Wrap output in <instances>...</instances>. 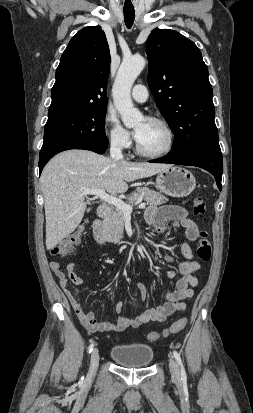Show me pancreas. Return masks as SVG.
Segmentation results:
<instances>
[{"mask_svg": "<svg viewBox=\"0 0 253 413\" xmlns=\"http://www.w3.org/2000/svg\"><path fill=\"white\" fill-rule=\"evenodd\" d=\"M139 199L146 200L151 206H158L166 203L168 199L159 192L147 187L137 188L128 198L127 204H133ZM124 213L119 208H115L112 215L103 221V235L109 242L118 244L123 238Z\"/></svg>", "mask_w": 253, "mask_h": 413, "instance_id": "cf45deb5", "label": "pancreas"}]
</instances>
